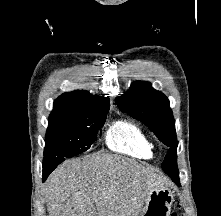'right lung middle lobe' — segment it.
Segmentation results:
<instances>
[{"label":"right lung middle lobe","instance_id":"right-lung-middle-lobe-1","mask_svg":"<svg viewBox=\"0 0 221 216\" xmlns=\"http://www.w3.org/2000/svg\"><path fill=\"white\" fill-rule=\"evenodd\" d=\"M107 113L83 116L65 124L49 125L43 168L57 167L65 158L88 150L96 140L99 128L104 125Z\"/></svg>","mask_w":221,"mask_h":216}]
</instances>
